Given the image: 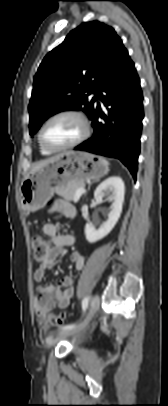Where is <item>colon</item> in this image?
<instances>
[{"label": "colon", "mask_w": 168, "mask_h": 406, "mask_svg": "<svg viewBox=\"0 0 168 406\" xmlns=\"http://www.w3.org/2000/svg\"><path fill=\"white\" fill-rule=\"evenodd\" d=\"M32 248L34 252V259L38 262L46 261L53 249L52 243L40 235L32 238ZM49 323L54 326L60 327L65 322L64 314H49L47 317Z\"/></svg>", "instance_id": "5ec220e1"}]
</instances>
